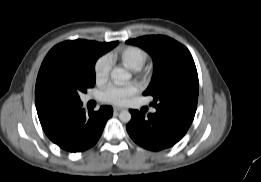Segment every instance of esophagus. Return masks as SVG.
Segmentation results:
<instances>
[{"mask_svg":"<svg viewBox=\"0 0 261 182\" xmlns=\"http://www.w3.org/2000/svg\"><path fill=\"white\" fill-rule=\"evenodd\" d=\"M113 110H114V112H120V111L124 110V108L114 107Z\"/></svg>","mask_w":261,"mask_h":182,"instance_id":"1","label":"esophagus"}]
</instances>
